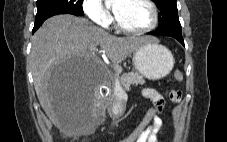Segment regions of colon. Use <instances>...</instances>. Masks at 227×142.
<instances>
[{
  "mask_svg": "<svg viewBox=\"0 0 227 142\" xmlns=\"http://www.w3.org/2000/svg\"><path fill=\"white\" fill-rule=\"evenodd\" d=\"M176 81L182 80V73L176 72L175 75ZM158 109L156 106L149 108L144 116L141 118L139 123L135 126V128L127 133L124 137H122L117 142H138L139 139L143 136V134L147 131L150 125L154 122L156 117L158 116Z\"/></svg>",
  "mask_w": 227,
  "mask_h": 142,
  "instance_id": "colon-1",
  "label": "colon"
}]
</instances>
